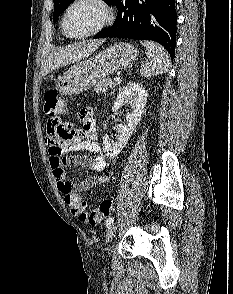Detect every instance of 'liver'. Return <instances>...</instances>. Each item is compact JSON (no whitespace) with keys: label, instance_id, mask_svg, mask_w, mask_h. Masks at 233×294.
<instances>
[{"label":"liver","instance_id":"liver-1","mask_svg":"<svg viewBox=\"0 0 233 294\" xmlns=\"http://www.w3.org/2000/svg\"><path fill=\"white\" fill-rule=\"evenodd\" d=\"M103 42V40L83 42L77 45L68 46L58 52H54L49 56L42 66V76L49 74L56 68L77 62L85 57H88L94 51H96L99 45H101Z\"/></svg>","mask_w":233,"mask_h":294}]
</instances>
